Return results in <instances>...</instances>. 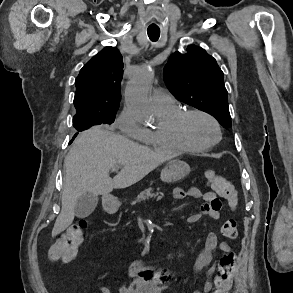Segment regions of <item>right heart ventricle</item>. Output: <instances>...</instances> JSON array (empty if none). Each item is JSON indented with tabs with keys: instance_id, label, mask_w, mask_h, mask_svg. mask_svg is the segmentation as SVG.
<instances>
[{
	"instance_id": "right-heart-ventricle-1",
	"label": "right heart ventricle",
	"mask_w": 293,
	"mask_h": 293,
	"mask_svg": "<svg viewBox=\"0 0 293 293\" xmlns=\"http://www.w3.org/2000/svg\"><path fill=\"white\" fill-rule=\"evenodd\" d=\"M158 111L163 117V126L155 130H149L148 136L142 141L149 147L166 152L194 151L179 141L172 130L173 120L182 111L180 106L175 104L167 108H158Z\"/></svg>"
}]
</instances>
